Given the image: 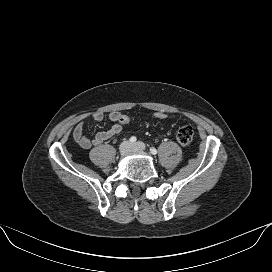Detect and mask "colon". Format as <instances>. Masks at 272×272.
Here are the masks:
<instances>
[{
  "label": "colon",
  "instance_id": "1",
  "mask_svg": "<svg viewBox=\"0 0 272 272\" xmlns=\"http://www.w3.org/2000/svg\"><path fill=\"white\" fill-rule=\"evenodd\" d=\"M153 117L156 120H164L168 117L167 113L165 112H161V111H157L153 114ZM130 117L128 115L122 114L120 113L118 115V122L121 125H126L128 123H130ZM176 139L178 141V143L182 146H186L188 144H190V142L193 139V129L192 127L188 126V125H183L181 126L177 133H176Z\"/></svg>",
  "mask_w": 272,
  "mask_h": 272
}]
</instances>
